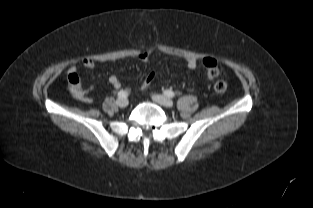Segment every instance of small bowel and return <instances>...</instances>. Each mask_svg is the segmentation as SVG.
<instances>
[{
    "label": "small bowel",
    "mask_w": 313,
    "mask_h": 208,
    "mask_svg": "<svg viewBox=\"0 0 313 208\" xmlns=\"http://www.w3.org/2000/svg\"><path fill=\"white\" fill-rule=\"evenodd\" d=\"M153 56H154L153 51H145V52L138 54L137 59L141 61H149ZM81 62L83 66L89 69L94 68L96 65V61L91 57H86L82 59ZM186 65L189 69H195L198 65V62L194 58H188L186 60ZM201 65L205 69L209 70L212 67H217V61L212 57H205L201 60ZM67 79H68L70 92L76 99L84 103L92 102V97L89 95V93L86 90L82 88L80 84L77 68L75 66H72L69 69ZM108 84L115 89H118L121 87V83L116 76H111L108 79Z\"/></svg>",
    "instance_id": "small-bowel-1"
}]
</instances>
